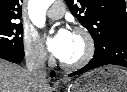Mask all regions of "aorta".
I'll list each match as a JSON object with an SVG mask.
<instances>
[{
    "label": "aorta",
    "instance_id": "762f6f07",
    "mask_svg": "<svg viewBox=\"0 0 127 92\" xmlns=\"http://www.w3.org/2000/svg\"><path fill=\"white\" fill-rule=\"evenodd\" d=\"M52 3L53 0H29L28 14L35 26L44 27L46 11Z\"/></svg>",
    "mask_w": 127,
    "mask_h": 92
}]
</instances>
